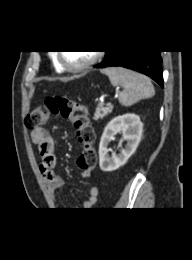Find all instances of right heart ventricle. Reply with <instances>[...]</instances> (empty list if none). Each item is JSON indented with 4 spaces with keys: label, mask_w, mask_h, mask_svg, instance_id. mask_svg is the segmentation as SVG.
Here are the masks:
<instances>
[{
    "label": "right heart ventricle",
    "mask_w": 192,
    "mask_h": 260,
    "mask_svg": "<svg viewBox=\"0 0 192 260\" xmlns=\"http://www.w3.org/2000/svg\"><path fill=\"white\" fill-rule=\"evenodd\" d=\"M52 61H53L54 68L57 71H61L62 68H61V66H60V64H59V62H58V60H57V58L55 56L52 58Z\"/></svg>",
    "instance_id": "e07e8e85"
}]
</instances>
